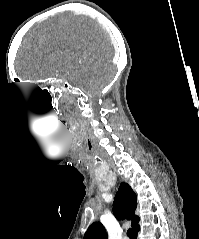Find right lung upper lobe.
<instances>
[{
    "instance_id": "1",
    "label": "right lung upper lobe",
    "mask_w": 199,
    "mask_h": 239,
    "mask_svg": "<svg viewBox=\"0 0 199 239\" xmlns=\"http://www.w3.org/2000/svg\"><path fill=\"white\" fill-rule=\"evenodd\" d=\"M136 207L135 192L127 183H121L113 203L115 216L131 220V226L136 229L139 226V217L135 215ZM83 239H107L105 228L100 222H94L87 229Z\"/></svg>"
}]
</instances>
